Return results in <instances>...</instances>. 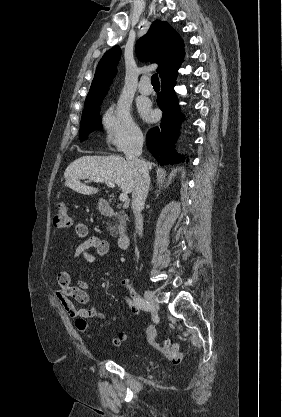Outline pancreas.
Wrapping results in <instances>:
<instances>
[{
  "mask_svg": "<svg viewBox=\"0 0 282 417\" xmlns=\"http://www.w3.org/2000/svg\"><path fill=\"white\" fill-rule=\"evenodd\" d=\"M126 219H127V215H124V213H120V215H118V219L116 221L117 225H112L111 221H109V223H107L108 225V229L110 231V235H114V233H116V235H118V231H117V227H123V225H125L126 223Z\"/></svg>",
  "mask_w": 282,
  "mask_h": 417,
  "instance_id": "1",
  "label": "pancreas"
}]
</instances>
